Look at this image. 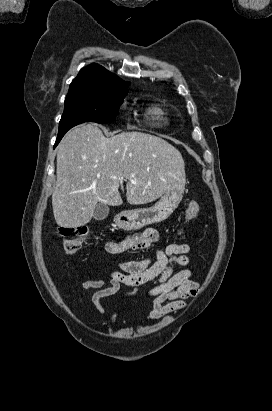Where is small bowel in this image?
<instances>
[{
  "label": "small bowel",
  "mask_w": 272,
  "mask_h": 411,
  "mask_svg": "<svg viewBox=\"0 0 272 411\" xmlns=\"http://www.w3.org/2000/svg\"><path fill=\"white\" fill-rule=\"evenodd\" d=\"M158 241V230L148 228L120 241L107 242L105 250L110 254H123L148 249ZM190 250L189 244L173 243L142 259L123 261L119 265L121 271L111 273L108 286H105L102 279L82 282L77 302L81 304L88 291L96 290L91 301L101 316L105 317L102 300L119 294L122 285L129 286L132 290L119 294L120 298L133 297L137 294L138 287L150 285L147 294L154 298L148 314L150 320L158 321L168 314L180 311L186 307L185 300L196 296L199 289V283L193 278L191 270L183 268L176 271V267H186L189 264ZM122 311L123 309L114 311L110 320L117 322Z\"/></svg>",
  "instance_id": "1"
}]
</instances>
